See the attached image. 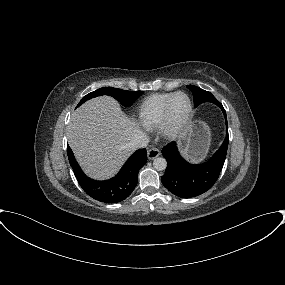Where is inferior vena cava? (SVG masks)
Masks as SVG:
<instances>
[{
	"label": "inferior vena cava",
	"instance_id": "obj_1",
	"mask_svg": "<svg viewBox=\"0 0 285 285\" xmlns=\"http://www.w3.org/2000/svg\"><path fill=\"white\" fill-rule=\"evenodd\" d=\"M149 143V137L142 131H138L134 134L129 143V148L132 150L141 149L147 147Z\"/></svg>",
	"mask_w": 285,
	"mask_h": 285
}]
</instances>
